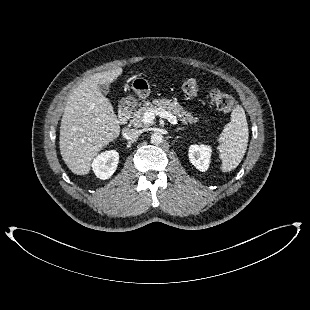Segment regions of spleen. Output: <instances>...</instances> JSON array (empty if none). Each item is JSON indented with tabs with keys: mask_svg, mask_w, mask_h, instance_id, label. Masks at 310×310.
Segmentation results:
<instances>
[{
	"mask_svg": "<svg viewBox=\"0 0 310 310\" xmlns=\"http://www.w3.org/2000/svg\"><path fill=\"white\" fill-rule=\"evenodd\" d=\"M249 138L248 123L244 109L237 106L231 113V121L225 125L219 137L218 150L222 160L221 170L235 169L242 161Z\"/></svg>",
	"mask_w": 310,
	"mask_h": 310,
	"instance_id": "obj_1",
	"label": "spleen"
}]
</instances>
